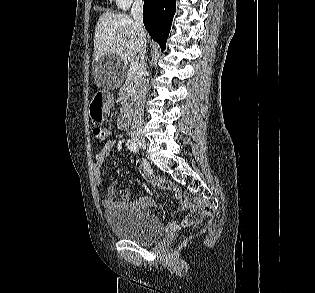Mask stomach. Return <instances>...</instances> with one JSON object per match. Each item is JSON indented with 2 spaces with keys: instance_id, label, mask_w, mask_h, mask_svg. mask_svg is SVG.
<instances>
[{
  "instance_id": "1",
  "label": "stomach",
  "mask_w": 315,
  "mask_h": 293,
  "mask_svg": "<svg viewBox=\"0 0 315 293\" xmlns=\"http://www.w3.org/2000/svg\"><path fill=\"white\" fill-rule=\"evenodd\" d=\"M110 93H98L90 103L89 116L93 121H104L107 119L112 106Z\"/></svg>"
}]
</instances>
